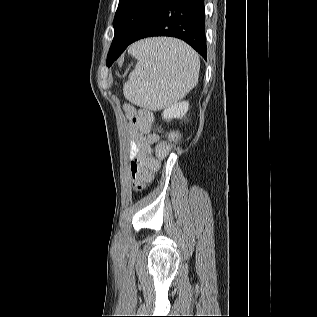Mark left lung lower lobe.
<instances>
[{
    "label": "left lung lower lobe",
    "instance_id": "0a47b994",
    "mask_svg": "<svg viewBox=\"0 0 317 317\" xmlns=\"http://www.w3.org/2000/svg\"><path fill=\"white\" fill-rule=\"evenodd\" d=\"M204 15V0H164L130 41L112 43L111 61L133 42L153 36L182 39L206 60Z\"/></svg>",
    "mask_w": 317,
    "mask_h": 317
}]
</instances>
